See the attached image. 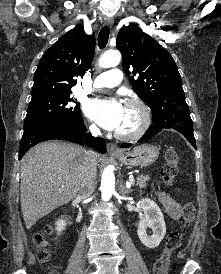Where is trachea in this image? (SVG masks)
Segmentation results:
<instances>
[{
	"mask_svg": "<svg viewBox=\"0 0 221 274\" xmlns=\"http://www.w3.org/2000/svg\"><path fill=\"white\" fill-rule=\"evenodd\" d=\"M110 30L107 26H104L98 36V46L99 48L103 49L106 47L109 39Z\"/></svg>",
	"mask_w": 221,
	"mask_h": 274,
	"instance_id": "1",
	"label": "trachea"
}]
</instances>
